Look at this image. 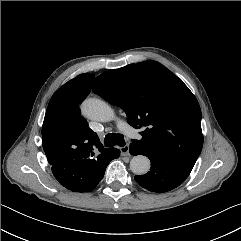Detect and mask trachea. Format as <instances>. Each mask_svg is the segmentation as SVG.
Returning <instances> with one entry per match:
<instances>
[{
  "label": "trachea",
  "mask_w": 241,
  "mask_h": 241,
  "mask_svg": "<svg viewBox=\"0 0 241 241\" xmlns=\"http://www.w3.org/2000/svg\"><path fill=\"white\" fill-rule=\"evenodd\" d=\"M104 144L106 147H113L115 145L122 147L126 145L124 136L122 134H112V133H109L105 136Z\"/></svg>",
  "instance_id": "1"
}]
</instances>
